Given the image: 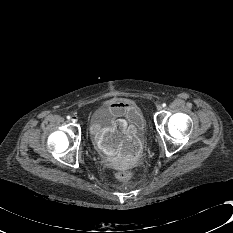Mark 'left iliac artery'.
<instances>
[{"mask_svg": "<svg viewBox=\"0 0 233 233\" xmlns=\"http://www.w3.org/2000/svg\"><path fill=\"white\" fill-rule=\"evenodd\" d=\"M162 106H163V107H166V103H163Z\"/></svg>", "mask_w": 233, "mask_h": 233, "instance_id": "obj_1", "label": "left iliac artery"}]
</instances>
